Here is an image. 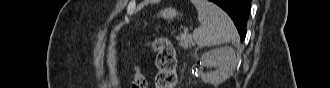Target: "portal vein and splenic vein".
Returning <instances> with one entry per match:
<instances>
[{
	"label": "portal vein and splenic vein",
	"instance_id": "1",
	"mask_svg": "<svg viewBox=\"0 0 330 88\" xmlns=\"http://www.w3.org/2000/svg\"><path fill=\"white\" fill-rule=\"evenodd\" d=\"M184 32H185V33L188 32V28H187V27L184 28Z\"/></svg>",
	"mask_w": 330,
	"mask_h": 88
}]
</instances>
